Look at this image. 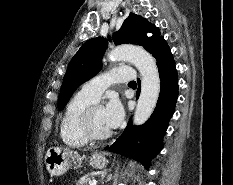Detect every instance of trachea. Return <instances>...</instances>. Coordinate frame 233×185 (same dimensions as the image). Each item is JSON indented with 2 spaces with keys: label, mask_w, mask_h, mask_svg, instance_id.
<instances>
[{
  "label": "trachea",
  "mask_w": 233,
  "mask_h": 185,
  "mask_svg": "<svg viewBox=\"0 0 233 185\" xmlns=\"http://www.w3.org/2000/svg\"><path fill=\"white\" fill-rule=\"evenodd\" d=\"M129 84H136V82L135 81H131V82H129Z\"/></svg>",
  "instance_id": "1"
}]
</instances>
